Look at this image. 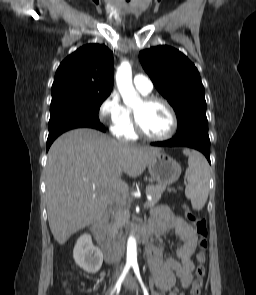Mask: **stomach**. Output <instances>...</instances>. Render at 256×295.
Masks as SVG:
<instances>
[{"label":"stomach","mask_w":256,"mask_h":295,"mask_svg":"<svg viewBox=\"0 0 256 295\" xmlns=\"http://www.w3.org/2000/svg\"><path fill=\"white\" fill-rule=\"evenodd\" d=\"M151 177L160 185H170L178 180L181 166L165 152L157 153L148 163Z\"/></svg>","instance_id":"obj_1"}]
</instances>
